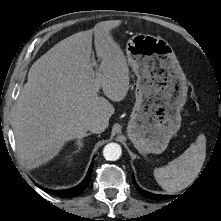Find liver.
<instances>
[{
    "instance_id": "obj_1",
    "label": "liver",
    "mask_w": 221,
    "mask_h": 221,
    "mask_svg": "<svg viewBox=\"0 0 221 221\" xmlns=\"http://www.w3.org/2000/svg\"><path fill=\"white\" fill-rule=\"evenodd\" d=\"M120 24V20L103 21L75 33L31 66L13 123L17 150L27 168L47 163L67 141L84 136L92 121L108 126L115 108L98 95L95 82L111 101H122L128 93L127 60L111 34ZM93 34L101 59L96 72L91 59Z\"/></svg>"
}]
</instances>
